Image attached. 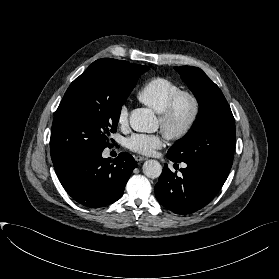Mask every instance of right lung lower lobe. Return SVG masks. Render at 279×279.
Listing matches in <instances>:
<instances>
[{
	"mask_svg": "<svg viewBox=\"0 0 279 279\" xmlns=\"http://www.w3.org/2000/svg\"><path fill=\"white\" fill-rule=\"evenodd\" d=\"M102 151L53 163L66 192L88 208L105 207L117 201L135 168L129 153L122 152L111 161L102 157Z\"/></svg>",
	"mask_w": 279,
	"mask_h": 279,
	"instance_id": "1",
	"label": "right lung lower lobe"
}]
</instances>
